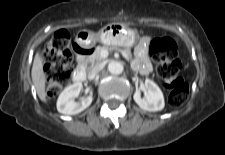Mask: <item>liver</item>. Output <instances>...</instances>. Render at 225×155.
Masks as SVG:
<instances>
[{"label":"liver","mask_w":225,"mask_h":155,"mask_svg":"<svg viewBox=\"0 0 225 155\" xmlns=\"http://www.w3.org/2000/svg\"><path fill=\"white\" fill-rule=\"evenodd\" d=\"M31 76L38 97L40 98L41 101L46 102V91H45L46 75L43 70V62L39 52L36 53L34 57Z\"/></svg>","instance_id":"obj_1"}]
</instances>
